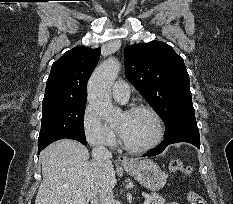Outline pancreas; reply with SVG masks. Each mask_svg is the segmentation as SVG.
Here are the masks:
<instances>
[{
	"label": "pancreas",
	"instance_id": "1",
	"mask_svg": "<svg viewBox=\"0 0 233 204\" xmlns=\"http://www.w3.org/2000/svg\"><path fill=\"white\" fill-rule=\"evenodd\" d=\"M152 204H165V199L157 193H152L150 196Z\"/></svg>",
	"mask_w": 233,
	"mask_h": 204
}]
</instances>
